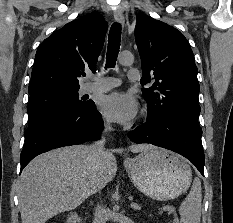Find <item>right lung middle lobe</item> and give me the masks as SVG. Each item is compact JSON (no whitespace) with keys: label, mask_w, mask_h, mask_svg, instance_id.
Listing matches in <instances>:
<instances>
[{"label":"right lung middle lobe","mask_w":233,"mask_h":223,"mask_svg":"<svg viewBox=\"0 0 233 223\" xmlns=\"http://www.w3.org/2000/svg\"><path fill=\"white\" fill-rule=\"evenodd\" d=\"M79 87L76 88H50L30 94L27 108L29 116L28 127L41 121L79 110L91 100L85 101L78 95Z\"/></svg>","instance_id":"dd1d6c3e"}]
</instances>
